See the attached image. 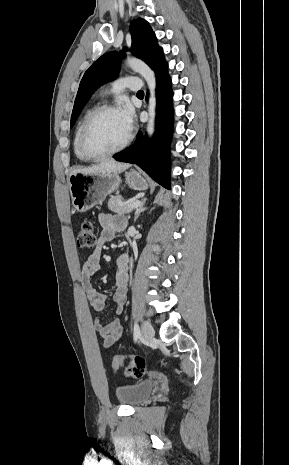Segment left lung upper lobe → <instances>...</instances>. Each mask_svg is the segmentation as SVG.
<instances>
[{
    "instance_id": "5c2ea615",
    "label": "left lung upper lobe",
    "mask_w": 289,
    "mask_h": 465,
    "mask_svg": "<svg viewBox=\"0 0 289 465\" xmlns=\"http://www.w3.org/2000/svg\"><path fill=\"white\" fill-rule=\"evenodd\" d=\"M130 33L132 53L151 66L157 78L167 73V62L162 48L158 45L155 33L149 23L142 18L133 20L130 25ZM122 57L123 52H108L102 55L85 72L74 102L71 127L94 91L104 83L117 77Z\"/></svg>"
}]
</instances>
